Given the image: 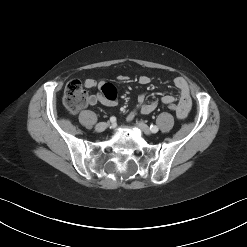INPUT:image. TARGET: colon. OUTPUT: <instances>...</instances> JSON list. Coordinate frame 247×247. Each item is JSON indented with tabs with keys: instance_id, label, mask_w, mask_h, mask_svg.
Here are the masks:
<instances>
[{
	"instance_id": "colon-1",
	"label": "colon",
	"mask_w": 247,
	"mask_h": 247,
	"mask_svg": "<svg viewBox=\"0 0 247 247\" xmlns=\"http://www.w3.org/2000/svg\"><path fill=\"white\" fill-rule=\"evenodd\" d=\"M87 103L86 91L80 81L73 80L69 82L64 91L63 104L65 108L71 112L75 113L82 109ZM170 111L177 114L178 106L176 103L172 102L167 104Z\"/></svg>"
}]
</instances>
